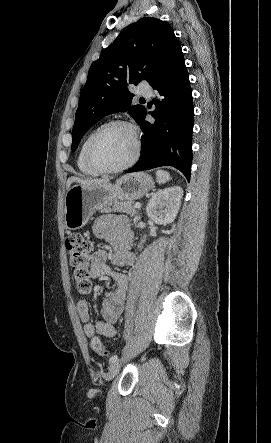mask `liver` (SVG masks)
I'll return each instance as SVG.
<instances>
[{
	"label": "liver",
	"instance_id": "liver-1",
	"mask_svg": "<svg viewBox=\"0 0 271 443\" xmlns=\"http://www.w3.org/2000/svg\"><path fill=\"white\" fill-rule=\"evenodd\" d=\"M77 182L81 186H96V184H107L105 180H81V178H68L66 182V190H70L71 184Z\"/></svg>",
	"mask_w": 271,
	"mask_h": 443
}]
</instances>
